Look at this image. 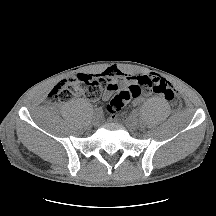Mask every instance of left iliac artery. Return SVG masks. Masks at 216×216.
I'll return each instance as SVG.
<instances>
[{"label":"left iliac artery","instance_id":"left-iliac-artery-1","mask_svg":"<svg viewBox=\"0 0 216 216\" xmlns=\"http://www.w3.org/2000/svg\"><path fill=\"white\" fill-rule=\"evenodd\" d=\"M134 115H136V116H137V115H138V112H137V111H134Z\"/></svg>","mask_w":216,"mask_h":216}]
</instances>
